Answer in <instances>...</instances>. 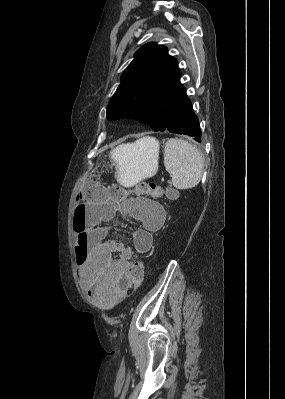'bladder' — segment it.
Returning a JSON list of instances; mask_svg holds the SVG:
<instances>
[{"instance_id": "1", "label": "bladder", "mask_w": 285, "mask_h": 399, "mask_svg": "<svg viewBox=\"0 0 285 399\" xmlns=\"http://www.w3.org/2000/svg\"><path fill=\"white\" fill-rule=\"evenodd\" d=\"M139 199H140V198H139ZM146 202H147V203H153V202H151V201H148V200H146Z\"/></svg>"}]
</instances>
